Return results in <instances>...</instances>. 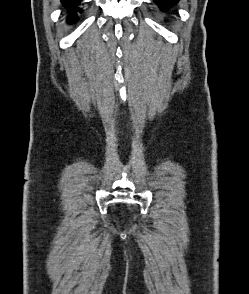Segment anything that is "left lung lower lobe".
Segmentation results:
<instances>
[{
    "label": "left lung lower lobe",
    "mask_w": 249,
    "mask_h": 294,
    "mask_svg": "<svg viewBox=\"0 0 249 294\" xmlns=\"http://www.w3.org/2000/svg\"><path fill=\"white\" fill-rule=\"evenodd\" d=\"M154 2L158 4L161 9L166 10L169 7L175 5L178 0H154Z\"/></svg>",
    "instance_id": "left-lung-lower-lobe-1"
}]
</instances>
